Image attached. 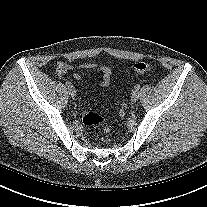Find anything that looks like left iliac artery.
<instances>
[{
	"label": "left iliac artery",
	"mask_w": 207,
	"mask_h": 207,
	"mask_svg": "<svg viewBox=\"0 0 207 207\" xmlns=\"http://www.w3.org/2000/svg\"><path fill=\"white\" fill-rule=\"evenodd\" d=\"M136 90H139L140 89V85L139 84H137V85H135V87H134Z\"/></svg>",
	"instance_id": "left-iliac-artery-1"
}]
</instances>
